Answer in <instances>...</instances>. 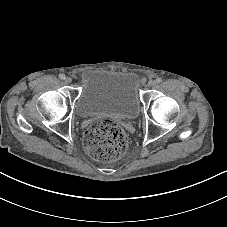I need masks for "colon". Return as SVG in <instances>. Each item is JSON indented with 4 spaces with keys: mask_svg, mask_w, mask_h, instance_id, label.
I'll use <instances>...</instances> for the list:
<instances>
[{
    "mask_svg": "<svg viewBox=\"0 0 227 227\" xmlns=\"http://www.w3.org/2000/svg\"><path fill=\"white\" fill-rule=\"evenodd\" d=\"M84 142L88 154L102 162L119 159L128 145L123 128L110 120L91 124L85 132Z\"/></svg>",
    "mask_w": 227,
    "mask_h": 227,
    "instance_id": "1",
    "label": "colon"
}]
</instances>
